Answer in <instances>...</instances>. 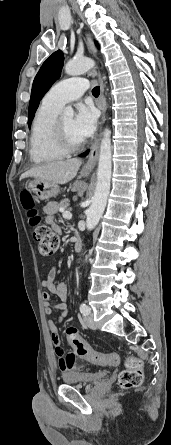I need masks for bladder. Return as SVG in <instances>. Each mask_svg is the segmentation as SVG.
Returning a JSON list of instances; mask_svg holds the SVG:
<instances>
[{
  "label": "bladder",
  "instance_id": "bladder-1",
  "mask_svg": "<svg viewBox=\"0 0 171 445\" xmlns=\"http://www.w3.org/2000/svg\"><path fill=\"white\" fill-rule=\"evenodd\" d=\"M106 375V371L65 372L62 374V379L69 385H90L103 380Z\"/></svg>",
  "mask_w": 171,
  "mask_h": 445
}]
</instances>
